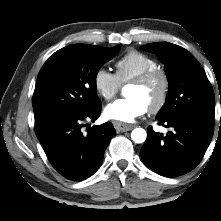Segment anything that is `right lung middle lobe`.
I'll list each match as a JSON object with an SVG mask.
<instances>
[{"mask_svg": "<svg viewBox=\"0 0 221 221\" xmlns=\"http://www.w3.org/2000/svg\"><path fill=\"white\" fill-rule=\"evenodd\" d=\"M74 44L51 55L41 68L33 94L36 135L58 119L84 114L101 104L96 93L100 67L120 50Z\"/></svg>", "mask_w": 221, "mask_h": 221, "instance_id": "dd1d6c3e", "label": "right lung middle lobe"}]
</instances>
